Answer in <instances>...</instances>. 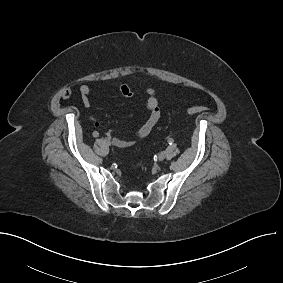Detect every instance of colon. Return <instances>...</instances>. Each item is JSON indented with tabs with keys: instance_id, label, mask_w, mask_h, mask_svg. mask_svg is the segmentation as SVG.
Returning a JSON list of instances; mask_svg holds the SVG:
<instances>
[{
	"instance_id": "obj_1",
	"label": "colon",
	"mask_w": 283,
	"mask_h": 283,
	"mask_svg": "<svg viewBox=\"0 0 283 283\" xmlns=\"http://www.w3.org/2000/svg\"><path fill=\"white\" fill-rule=\"evenodd\" d=\"M63 98H68L70 96V91L69 90H64L62 93ZM206 110V106L204 105H197V106H192L188 108L187 112L190 115H195L198 113H201Z\"/></svg>"
}]
</instances>
